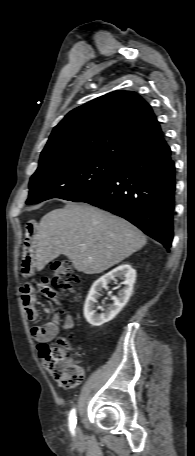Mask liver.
<instances>
[{"instance_id":"obj_1","label":"liver","mask_w":195,"mask_h":456,"mask_svg":"<svg viewBox=\"0 0 195 456\" xmlns=\"http://www.w3.org/2000/svg\"><path fill=\"white\" fill-rule=\"evenodd\" d=\"M36 239L38 271L64 254L85 274L101 273L146 244L145 235L125 219L75 203L44 215Z\"/></svg>"}]
</instances>
